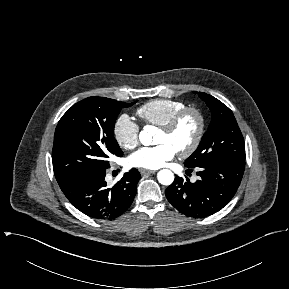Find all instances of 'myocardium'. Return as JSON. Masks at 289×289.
Segmentation results:
<instances>
[{
  "label": "myocardium",
  "mask_w": 289,
  "mask_h": 289,
  "mask_svg": "<svg viewBox=\"0 0 289 289\" xmlns=\"http://www.w3.org/2000/svg\"><path fill=\"white\" fill-rule=\"evenodd\" d=\"M188 115H194L197 118L198 127L192 142L186 148L177 152L178 155L183 158L193 154L203 139L206 129V119L203 112L196 107H185L173 115L167 123L160 126V130L170 134L176 130L182 120Z\"/></svg>",
  "instance_id": "myocardium-1"
}]
</instances>
